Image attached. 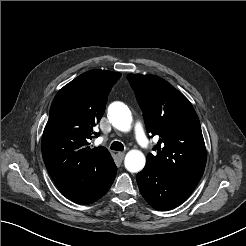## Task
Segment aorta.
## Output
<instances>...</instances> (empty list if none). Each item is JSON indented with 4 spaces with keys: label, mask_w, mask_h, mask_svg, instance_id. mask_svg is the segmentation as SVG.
<instances>
[{
    "label": "aorta",
    "mask_w": 246,
    "mask_h": 246,
    "mask_svg": "<svg viewBox=\"0 0 246 246\" xmlns=\"http://www.w3.org/2000/svg\"><path fill=\"white\" fill-rule=\"evenodd\" d=\"M108 118L112 125L123 132L131 128L132 116L129 108L122 102H114L108 108ZM146 163V158L140 150H130L124 160L125 168L131 173L141 171Z\"/></svg>",
    "instance_id": "762f6f07"
}]
</instances>
